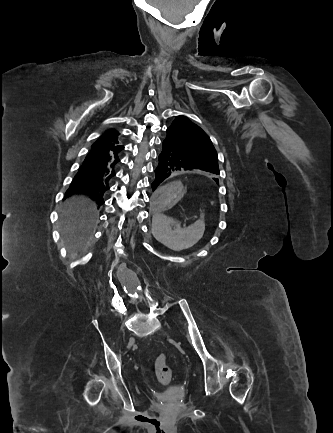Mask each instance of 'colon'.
Segmentation results:
<instances>
[{"label":"colon","instance_id":"obj_1","mask_svg":"<svg viewBox=\"0 0 333 433\" xmlns=\"http://www.w3.org/2000/svg\"><path fill=\"white\" fill-rule=\"evenodd\" d=\"M155 372L160 383L167 385L172 378L167 354L161 353L155 361Z\"/></svg>","mask_w":333,"mask_h":433}]
</instances>
